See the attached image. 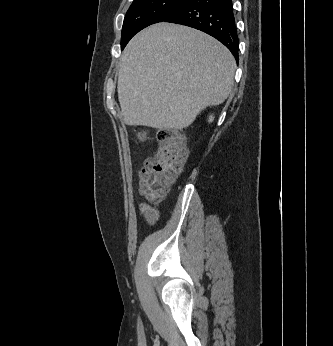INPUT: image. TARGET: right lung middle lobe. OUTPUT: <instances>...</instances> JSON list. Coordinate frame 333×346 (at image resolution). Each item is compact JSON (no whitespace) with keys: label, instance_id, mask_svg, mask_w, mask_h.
<instances>
[{"label":"right lung middle lobe","instance_id":"dd1d6c3e","mask_svg":"<svg viewBox=\"0 0 333 346\" xmlns=\"http://www.w3.org/2000/svg\"><path fill=\"white\" fill-rule=\"evenodd\" d=\"M184 0H134L125 15L121 50L129 40L145 27L163 22Z\"/></svg>","mask_w":333,"mask_h":346}]
</instances>
